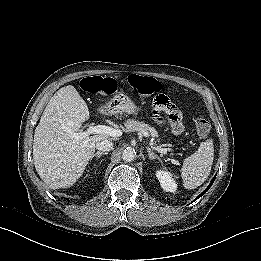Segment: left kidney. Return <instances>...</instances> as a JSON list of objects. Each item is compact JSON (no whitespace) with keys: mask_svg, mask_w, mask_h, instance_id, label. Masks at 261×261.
<instances>
[{"mask_svg":"<svg viewBox=\"0 0 261 261\" xmlns=\"http://www.w3.org/2000/svg\"><path fill=\"white\" fill-rule=\"evenodd\" d=\"M172 173L165 170L156 171V177L160 182L161 187L166 192H175L177 189V184L172 178Z\"/></svg>","mask_w":261,"mask_h":261,"instance_id":"left-kidney-1","label":"left kidney"}]
</instances>
